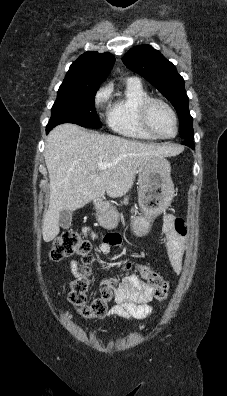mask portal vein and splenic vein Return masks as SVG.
I'll use <instances>...</instances> for the list:
<instances>
[{"instance_id": "18ae733b", "label": "portal vein and splenic vein", "mask_w": 227, "mask_h": 396, "mask_svg": "<svg viewBox=\"0 0 227 396\" xmlns=\"http://www.w3.org/2000/svg\"><path fill=\"white\" fill-rule=\"evenodd\" d=\"M97 166H98V168H99L100 170H104V169H106L107 167L112 166V164L104 163V162H99V163L97 164Z\"/></svg>"}]
</instances>
